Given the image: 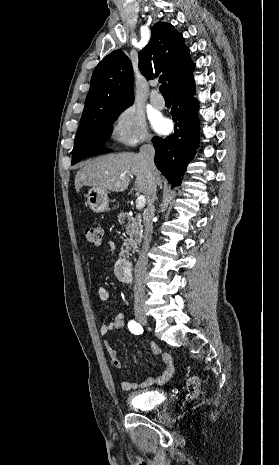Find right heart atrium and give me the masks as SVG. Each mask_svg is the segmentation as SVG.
Masks as SVG:
<instances>
[{"label":"right heart atrium","mask_w":279,"mask_h":465,"mask_svg":"<svg viewBox=\"0 0 279 465\" xmlns=\"http://www.w3.org/2000/svg\"><path fill=\"white\" fill-rule=\"evenodd\" d=\"M112 139L125 147H132L150 140L145 118L134 106L121 108L113 121L111 128Z\"/></svg>","instance_id":"right-heart-atrium-1"}]
</instances>
